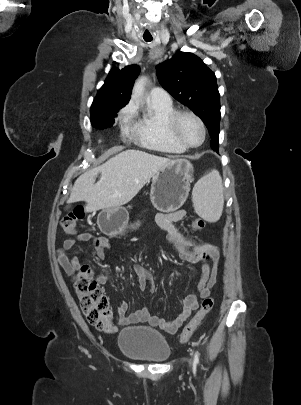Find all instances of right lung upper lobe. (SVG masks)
<instances>
[{"instance_id":"right-lung-upper-lobe-1","label":"right lung upper lobe","mask_w":301,"mask_h":405,"mask_svg":"<svg viewBox=\"0 0 301 405\" xmlns=\"http://www.w3.org/2000/svg\"><path fill=\"white\" fill-rule=\"evenodd\" d=\"M140 73L139 66L133 64L122 70L113 68L98 91L92 108L116 110L124 107L130 100L134 80Z\"/></svg>"}]
</instances>
